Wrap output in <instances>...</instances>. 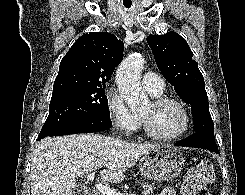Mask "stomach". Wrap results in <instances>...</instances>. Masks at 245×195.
<instances>
[{"label":"stomach","instance_id":"obj_1","mask_svg":"<svg viewBox=\"0 0 245 195\" xmlns=\"http://www.w3.org/2000/svg\"><path fill=\"white\" fill-rule=\"evenodd\" d=\"M184 162L180 150L169 145H159L141 157L139 167L144 178L163 182L178 176Z\"/></svg>","mask_w":245,"mask_h":195}]
</instances>
